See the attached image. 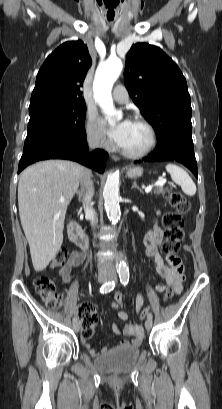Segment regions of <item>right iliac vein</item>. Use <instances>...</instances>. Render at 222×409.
Masks as SVG:
<instances>
[{
  "mask_svg": "<svg viewBox=\"0 0 222 409\" xmlns=\"http://www.w3.org/2000/svg\"><path fill=\"white\" fill-rule=\"evenodd\" d=\"M99 282H106L107 280H109V277L105 274H101L98 277ZM73 328L75 331H79L80 329V325L77 322L73 323Z\"/></svg>",
  "mask_w": 222,
  "mask_h": 409,
  "instance_id": "right-iliac-vein-1",
  "label": "right iliac vein"
}]
</instances>
